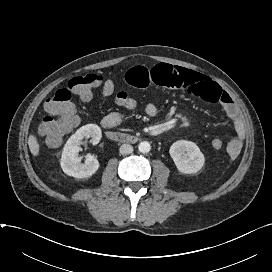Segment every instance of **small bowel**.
Segmentation results:
<instances>
[{
  "label": "small bowel",
  "instance_id": "c3829d8e",
  "mask_svg": "<svg viewBox=\"0 0 272 272\" xmlns=\"http://www.w3.org/2000/svg\"><path fill=\"white\" fill-rule=\"evenodd\" d=\"M125 78L135 88L174 89L203 101L219 104L235 130V136L227 144L226 152L231 159L239 155L246 135L245 125L231 96L217 83L198 72L169 64L135 67L127 71ZM145 112L154 117L158 109L154 104H148ZM123 118L122 112L113 111L103 118L102 125L114 128Z\"/></svg>",
  "mask_w": 272,
  "mask_h": 272
}]
</instances>
